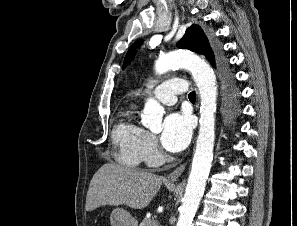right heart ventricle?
I'll return each instance as SVG.
<instances>
[{"label":"right heart ventricle","mask_w":297,"mask_h":226,"mask_svg":"<svg viewBox=\"0 0 297 226\" xmlns=\"http://www.w3.org/2000/svg\"><path fill=\"white\" fill-rule=\"evenodd\" d=\"M132 114V108H129L112 132L116 160L126 166H138L143 161L146 131L134 121Z\"/></svg>","instance_id":"1"}]
</instances>
